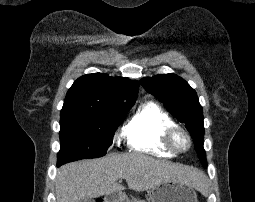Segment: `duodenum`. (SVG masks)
I'll return each instance as SVG.
<instances>
[{"mask_svg": "<svg viewBox=\"0 0 255 202\" xmlns=\"http://www.w3.org/2000/svg\"><path fill=\"white\" fill-rule=\"evenodd\" d=\"M104 202H121L116 193H109L104 197Z\"/></svg>", "mask_w": 255, "mask_h": 202, "instance_id": "410a0bca", "label": "duodenum"}]
</instances>
